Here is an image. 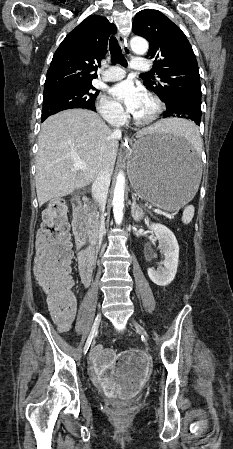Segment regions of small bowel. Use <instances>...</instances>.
<instances>
[{"mask_svg": "<svg viewBox=\"0 0 233 449\" xmlns=\"http://www.w3.org/2000/svg\"><path fill=\"white\" fill-rule=\"evenodd\" d=\"M78 278L89 286L93 275L92 272H79ZM73 315L74 310L68 318L58 320L61 330L68 329ZM124 352L118 356L120 363H115L116 355L112 349L96 346L90 352V360L103 390H109L118 399H133L137 390H142L143 377L149 376L150 356L140 354L139 347H126Z\"/></svg>", "mask_w": 233, "mask_h": 449, "instance_id": "obj_1", "label": "small bowel"}]
</instances>
